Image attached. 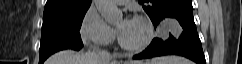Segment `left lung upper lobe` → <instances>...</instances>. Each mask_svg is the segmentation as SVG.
I'll return each mask as SVG.
<instances>
[{
	"label": "left lung upper lobe",
	"mask_w": 242,
	"mask_h": 64,
	"mask_svg": "<svg viewBox=\"0 0 242 64\" xmlns=\"http://www.w3.org/2000/svg\"><path fill=\"white\" fill-rule=\"evenodd\" d=\"M139 3L153 24H156L167 12L192 2L191 0H139Z\"/></svg>",
	"instance_id": "left-lung-upper-lobe-1"
}]
</instances>
